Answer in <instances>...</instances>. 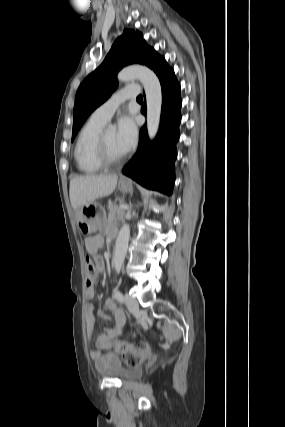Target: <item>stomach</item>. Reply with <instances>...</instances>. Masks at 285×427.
<instances>
[{"label": "stomach", "mask_w": 285, "mask_h": 427, "mask_svg": "<svg viewBox=\"0 0 285 427\" xmlns=\"http://www.w3.org/2000/svg\"><path fill=\"white\" fill-rule=\"evenodd\" d=\"M118 188L123 193L133 191L131 181H119ZM77 220L80 230L87 234L94 233L103 223H105L102 208L97 203H92L82 207L77 212Z\"/></svg>", "instance_id": "0dacf381"}]
</instances>
